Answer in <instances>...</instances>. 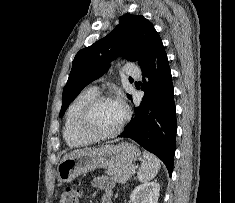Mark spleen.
<instances>
[{
    "mask_svg": "<svg viewBox=\"0 0 235 203\" xmlns=\"http://www.w3.org/2000/svg\"><path fill=\"white\" fill-rule=\"evenodd\" d=\"M160 168V160L153 154L144 151L143 161L137 173L138 180L141 182L152 180L157 175Z\"/></svg>",
    "mask_w": 235,
    "mask_h": 203,
    "instance_id": "spleen-1",
    "label": "spleen"
}]
</instances>
